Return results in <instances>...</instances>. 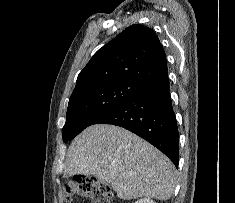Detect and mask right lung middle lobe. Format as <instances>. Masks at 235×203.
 <instances>
[{
  "instance_id": "obj_1",
  "label": "right lung middle lobe",
  "mask_w": 235,
  "mask_h": 203,
  "mask_svg": "<svg viewBox=\"0 0 235 203\" xmlns=\"http://www.w3.org/2000/svg\"><path fill=\"white\" fill-rule=\"evenodd\" d=\"M145 85L124 80L96 83L72 93L62 130L64 142L77 136L86 127L138 93Z\"/></svg>"
}]
</instances>
